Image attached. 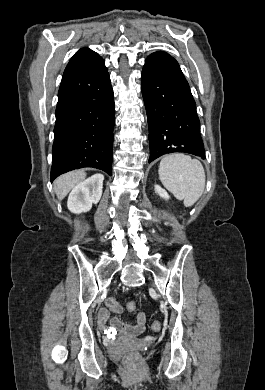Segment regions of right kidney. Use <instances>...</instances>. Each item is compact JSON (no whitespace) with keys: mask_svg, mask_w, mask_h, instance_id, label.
<instances>
[{"mask_svg":"<svg viewBox=\"0 0 265 390\" xmlns=\"http://www.w3.org/2000/svg\"><path fill=\"white\" fill-rule=\"evenodd\" d=\"M104 176L95 174L76 185L69 194L67 207L73 213L87 212L102 196Z\"/></svg>","mask_w":265,"mask_h":390,"instance_id":"1","label":"right kidney"}]
</instances>
